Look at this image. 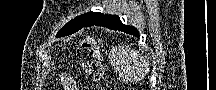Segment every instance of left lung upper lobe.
Listing matches in <instances>:
<instances>
[{"label":"left lung upper lobe","mask_w":216,"mask_h":90,"mask_svg":"<svg viewBox=\"0 0 216 90\" xmlns=\"http://www.w3.org/2000/svg\"><path fill=\"white\" fill-rule=\"evenodd\" d=\"M108 15H103L97 12H88L81 16H77L73 20L69 21L60 31L56 37H63L69 34H73L78 30L93 25L99 20L104 19Z\"/></svg>","instance_id":"1"}]
</instances>
